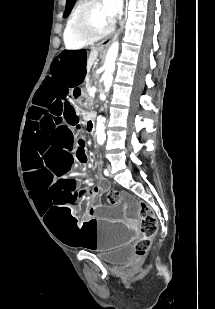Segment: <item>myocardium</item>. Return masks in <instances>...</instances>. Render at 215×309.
I'll use <instances>...</instances> for the list:
<instances>
[{
	"label": "myocardium",
	"mask_w": 215,
	"mask_h": 309,
	"mask_svg": "<svg viewBox=\"0 0 215 309\" xmlns=\"http://www.w3.org/2000/svg\"><path fill=\"white\" fill-rule=\"evenodd\" d=\"M91 9H93L92 6L78 8L74 12V19L70 20L71 24H68L70 28L69 33H72L71 37L78 38V43L76 45L80 48L92 46L93 43L98 41V38H106V34H111L115 28V21L113 19H108L104 27H92L90 31H87V29L91 27V21L82 13ZM79 39H82V42H79Z\"/></svg>",
	"instance_id": "f54148a6"
}]
</instances>
